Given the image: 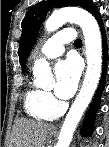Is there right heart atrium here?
I'll return each mask as SVG.
<instances>
[{
	"label": "right heart atrium",
	"instance_id": "right-heart-atrium-1",
	"mask_svg": "<svg viewBox=\"0 0 109 147\" xmlns=\"http://www.w3.org/2000/svg\"><path fill=\"white\" fill-rule=\"evenodd\" d=\"M43 101L49 108H56V101L49 92H43Z\"/></svg>",
	"mask_w": 109,
	"mask_h": 147
}]
</instances>
